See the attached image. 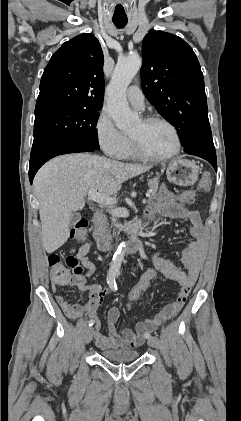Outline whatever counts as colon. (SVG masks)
Masks as SVG:
<instances>
[{"instance_id": "obj_1", "label": "colon", "mask_w": 241, "mask_h": 421, "mask_svg": "<svg viewBox=\"0 0 241 421\" xmlns=\"http://www.w3.org/2000/svg\"><path fill=\"white\" fill-rule=\"evenodd\" d=\"M210 185V175L205 173L199 182L198 189L200 191H207ZM196 195V189L185 190L179 195V200L184 204H192L195 201ZM87 226L88 223L85 220L77 222L71 230L70 238L78 242L84 241L87 235ZM48 264L54 283L70 281L73 277L82 273V267L73 255H68L65 259H62L59 255L52 254L48 257ZM157 277L158 270L155 267H149L142 273L128 295L127 307L129 309L152 285Z\"/></svg>"}]
</instances>
